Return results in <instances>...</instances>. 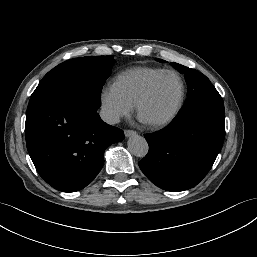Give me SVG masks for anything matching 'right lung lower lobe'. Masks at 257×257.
Instances as JSON below:
<instances>
[{
  "instance_id": "right-lung-lower-lobe-1",
  "label": "right lung lower lobe",
  "mask_w": 257,
  "mask_h": 257,
  "mask_svg": "<svg viewBox=\"0 0 257 257\" xmlns=\"http://www.w3.org/2000/svg\"><path fill=\"white\" fill-rule=\"evenodd\" d=\"M100 105L76 90L30 98L27 149L40 176L55 189H83L103 167L105 149L124 139L122 130L100 119Z\"/></svg>"
}]
</instances>
